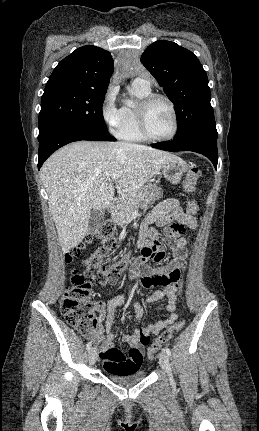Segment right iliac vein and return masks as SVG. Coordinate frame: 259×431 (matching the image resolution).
Listing matches in <instances>:
<instances>
[{
  "label": "right iliac vein",
  "instance_id": "63e3f726",
  "mask_svg": "<svg viewBox=\"0 0 259 431\" xmlns=\"http://www.w3.org/2000/svg\"><path fill=\"white\" fill-rule=\"evenodd\" d=\"M88 359L91 365L95 364L97 360V351L94 348H91L88 352Z\"/></svg>",
  "mask_w": 259,
  "mask_h": 431
}]
</instances>
